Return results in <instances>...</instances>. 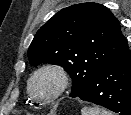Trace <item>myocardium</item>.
<instances>
[{
	"label": "myocardium",
	"instance_id": "obj_1",
	"mask_svg": "<svg viewBox=\"0 0 131 115\" xmlns=\"http://www.w3.org/2000/svg\"><path fill=\"white\" fill-rule=\"evenodd\" d=\"M43 73L51 74L57 80V87L55 91L53 92V94L49 96L48 98L38 97L33 90L34 80L36 79L37 76ZM68 85H69V76H68L67 71L61 65L48 63V64L40 66L32 73V75L30 76L28 80L27 89H28L29 95L35 101L41 104L47 105L57 100L66 91V89L68 88Z\"/></svg>",
	"mask_w": 131,
	"mask_h": 115
}]
</instances>
